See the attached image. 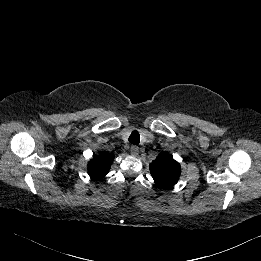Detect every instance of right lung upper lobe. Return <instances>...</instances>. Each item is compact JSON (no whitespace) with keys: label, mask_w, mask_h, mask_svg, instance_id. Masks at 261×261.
Segmentation results:
<instances>
[{"label":"right lung upper lobe","mask_w":261,"mask_h":261,"mask_svg":"<svg viewBox=\"0 0 261 261\" xmlns=\"http://www.w3.org/2000/svg\"><path fill=\"white\" fill-rule=\"evenodd\" d=\"M114 160V155L108 152H101L94 155L93 159L88 163V173L94 180L104 177Z\"/></svg>","instance_id":"right-lung-upper-lobe-1"}]
</instances>
